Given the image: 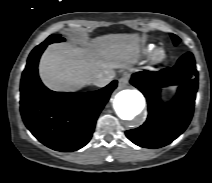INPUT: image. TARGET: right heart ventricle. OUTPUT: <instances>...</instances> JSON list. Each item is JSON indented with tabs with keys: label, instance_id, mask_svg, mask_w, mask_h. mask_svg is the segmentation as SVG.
I'll return each mask as SVG.
<instances>
[{
	"label": "right heart ventricle",
	"instance_id": "obj_1",
	"mask_svg": "<svg viewBox=\"0 0 212 183\" xmlns=\"http://www.w3.org/2000/svg\"><path fill=\"white\" fill-rule=\"evenodd\" d=\"M155 49V45L154 44H149L146 48V51L148 53H151L153 50Z\"/></svg>",
	"mask_w": 212,
	"mask_h": 183
}]
</instances>
